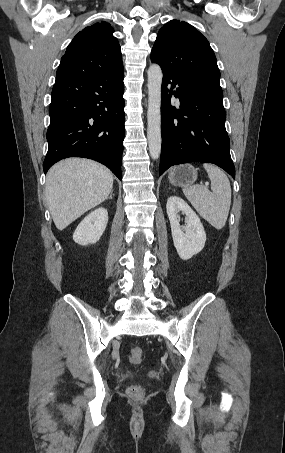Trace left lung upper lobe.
<instances>
[{"label":"left lung upper lobe","mask_w":285,"mask_h":453,"mask_svg":"<svg viewBox=\"0 0 285 453\" xmlns=\"http://www.w3.org/2000/svg\"><path fill=\"white\" fill-rule=\"evenodd\" d=\"M151 59L163 70L190 79L223 96L217 60L207 39L190 24L171 20L157 35Z\"/></svg>","instance_id":"1"}]
</instances>
